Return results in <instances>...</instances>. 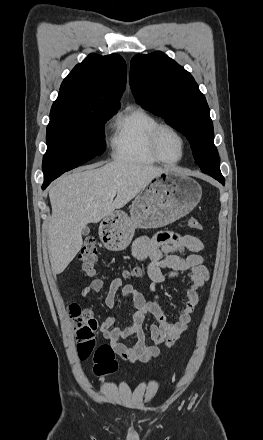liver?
Here are the masks:
<instances>
[{"mask_svg": "<svg viewBox=\"0 0 263 440\" xmlns=\"http://www.w3.org/2000/svg\"><path fill=\"white\" fill-rule=\"evenodd\" d=\"M168 171L138 162L115 161L81 168L57 180L49 190L52 216L48 249L53 273H62L80 251L82 230L124 207L152 180ZM115 191L116 198L109 197Z\"/></svg>", "mask_w": 263, "mask_h": 440, "instance_id": "liver-1", "label": "liver"}]
</instances>
